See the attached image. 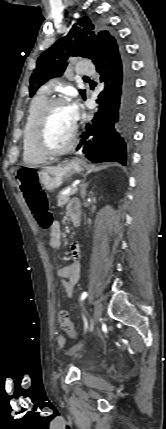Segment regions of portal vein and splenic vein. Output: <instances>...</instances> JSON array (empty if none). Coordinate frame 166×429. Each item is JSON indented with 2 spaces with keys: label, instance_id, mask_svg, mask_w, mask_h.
<instances>
[{
  "label": "portal vein and splenic vein",
  "instance_id": "18ae733b",
  "mask_svg": "<svg viewBox=\"0 0 166 429\" xmlns=\"http://www.w3.org/2000/svg\"><path fill=\"white\" fill-rule=\"evenodd\" d=\"M77 191H78V188H77V187H74V188L71 190V195L76 194V193H77Z\"/></svg>",
  "mask_w": 166,
  "mask_h": 429
}]
</instances>
